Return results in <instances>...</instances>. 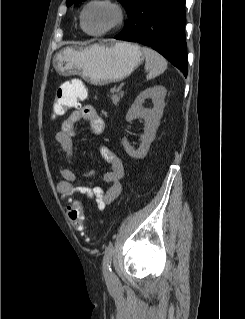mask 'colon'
<instances>
[{
	"label": "colon",
	"mask_w": 245,
	"mask_h": 319,
	"mask_svg": "<svg viewBox=\"0 0 245 319\" xmlns=\"http://www.w3.org/2000/svg\"><path fill=\"white\" fill-rule=\"evenodd\" d=\"M85 97L84 86H80L76 91L70 92L68 90H62L58 88L56 94L55 108L54 111L57 115H63L71 108L78 107L80 101ZM67 213L71 224L77 230H83L84 228V210L82 205L72 200L67 206Z\"/></svg>",
	"instance_id": "obj_1"
}]
</instances>
